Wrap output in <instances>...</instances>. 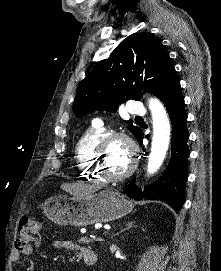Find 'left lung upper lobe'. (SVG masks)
Listing matches in <instances>:
<instances>
[{
    "instance_id": "left-lung-upper-lobe-1",
    "label": "left lung upper lobe",
    "mask_w": 221,
    "mask_h": 271,
    "mask_svg": "<svg viewBox=\"0 0 221 271\" xmlns=\"http://www.w3.org/2000/svg\"><path fill=\"white\" fill-rule=\"evenodd\" d=\"M176 82L179 80L174 65L161 41L152 35L135 33L79 83L73 111L78 117L94 110L115 112L118 104L139 100L145 92L162 99ZM124 122L136 137L141 129L131 120Z\"/></svg>"
}]
</instances>
